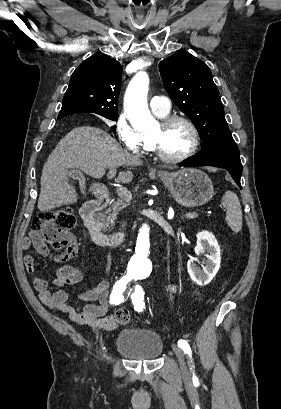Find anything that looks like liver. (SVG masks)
<instances>
[{"instance_id": "1", "label": "liver", "mask_w": 281, "mask_h": 409, "mask_svg": "<svg viewBox=\"0 0 281 409\" xmlns=\"http://www.w3.org/2000/svg\"><path fill=\"white\" fill-rule=\"evenodd\" d=\"M122 164L139 166L142 160L119 148L116 138L96 126L72 128L49 154L41 174L39 211H51L61 205L77 202V192L68 180L70 168H79L93 178H101L105 168H118ZM131 170L119 172L120 182H130Z\"/></svg>"}]
</instances>
